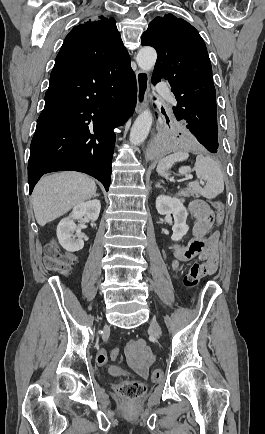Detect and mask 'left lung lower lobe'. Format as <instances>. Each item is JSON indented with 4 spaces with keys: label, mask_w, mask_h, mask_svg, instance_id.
<instances>
[{
    "label": "left lung lower lobe",
    "mask_w": 265,
    "mask_h": 434,
    "mask_svg": "<svg viewBox=\"0 0 265 434\" xmlns=\"http://www.w3.org/2000/svg\"><path fill=\"white\" fill-rule=\"evenodd\" d=\"M192 134L196 137L198 142L201 144V148L210 153H217L221 150V144L218 139V127H198V128H190ZM174 146L165 143L164 148H173Z\"/></svg>",
    "instance_id": "1"
}]
</instances>
